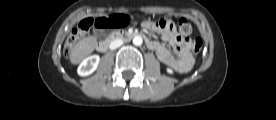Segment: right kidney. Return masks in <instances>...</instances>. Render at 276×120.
Wrapping results in <instances>:
<instances>
[{
    "mask_svg": "<svg viewBox=\"0 0 276 120\" xmlns=\"http://www.w3.org/2000/svg\"><path fill=\"white\" fill-rule=\"evenodd\" d=\"M99 61H100L99 55L88 56L79 65L77 70L78 74L80 76H88L92 74L97 69Z\"/></svg>",
    "mask_w": 276,
    "mask_h": 120,
    "instance_id": "ca27d5eb",
    "label": "right kidney"
}]
</instances>
